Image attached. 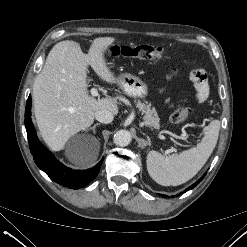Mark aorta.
Returning <instances> with one entry per match:
<instances>
[{"label": "aorta", "mask_w": 247, "mask_h": 247, "mask_svg": "<svg viewBox=\"0 0 247 247\" xmlns=\"http://www.w3.org/2000/svg\"><path fill=\"white\" fill-rule=\"evenodd\" d=\"M131 140H132L131 133L125 129L118 130L113 137V141L115 145L120 147L128 146Z\"/></svg>", "instance_id": "1"}]
</instances>
